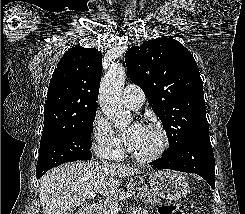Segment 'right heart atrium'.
<instances>
[{"label":"right heart atrium","mask_w":245,"mask_h":214,"mask_svg":"<svg viewBox=\"0 0 245 214\" xmlns=\"http://www.w3.org/2000/svg\"><path fill=\"white\" fill-rule=\"evenodd\" d=\"M93 149L103 159H115L120 152V141L109 122L97 114L92 123Z\"/></svg>","instance_id":"1"}]
</instances>
